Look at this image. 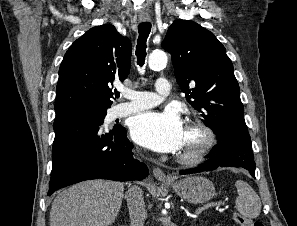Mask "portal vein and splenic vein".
<instances>
[{"label": "portal vein and splenic vein", "instance_id": "obj_1", "mask_svg": "<svg viewBox=\"0 0 297 226\" xmlns=\"http://www.w3.org/2000/svg\"><path fill=\"white\" fill-rule=\"evenodd\" d=\"M219 205H220V202L207 203V204L201 206L200 208H198L195 213L197 214V213H199L201 211H204V210L209 209V208L217 207Z\"/></svg>", "mask_w": 297, "mask_h": 226}]
</instances>
